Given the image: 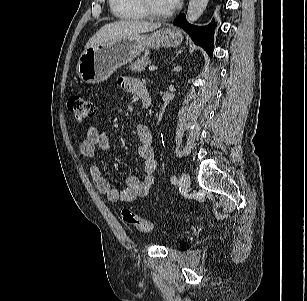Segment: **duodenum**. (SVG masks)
Masks as SVG:
<instances>
[{"mask_svg":"<svg viewBox=\"0 0 307 301\" xmlns=\"http://www.w3.org/2000/svg\"><path fill=\"white\" fill-rule=\"evenodd\" d=\"M138 95L142 100V104L144 108H148L151 103V97H150V93L148 92V90L145 87H142L138 90Z\"/></svg>","mask_w":307,"mask_h":301,"instance_id":"duodenum-1","label":"duodenum"}]
</instances>
